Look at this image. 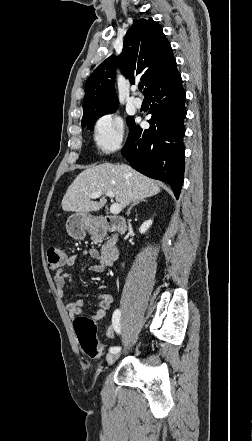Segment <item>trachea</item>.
<instances>
[{
	"label": "trachea",
	"instance_id": "3493384b",
	"mask_svg": "<svg viewBox=\"0 0 252 441\" xmlns=\"http://www.w3.org/2000/svg\"><path fill=\"white\" fill-rule=\"evenodd\" d=\"M138 88H139V91H142L143 85H139Z\"/></svg>",
	"mask_w": 252,
	"mask_h": 441
}]
</instances>
